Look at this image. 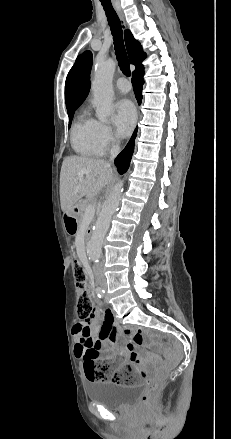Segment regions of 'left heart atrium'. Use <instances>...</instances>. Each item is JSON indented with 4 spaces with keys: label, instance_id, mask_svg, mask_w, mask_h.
Wrapping results in <instances>:
<instances>
[{
    "label": "left heart atrium",
    "instance_id": "obj_1",
    "mask_svg": "<svg viewBox=\"0 0 231 439\" xmlns=\"http://www.w3.org/2000/svg\"><path fill=\"white\" fill-rule=\"evenodd\" d=\"M136 110L127 99H121L114 105V125L120 136H128L136 122Z\"/></svg>",
    "mask_w": 231,
    "mask_h": 439
}]
</instances>
